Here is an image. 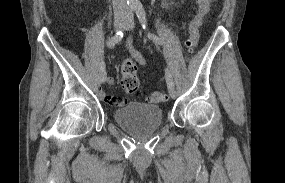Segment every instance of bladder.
<instances>
[{
  "label": "bladder",
  "mask_w": 285,
  "mask_h": 183,
  "mask_svg": "<svg viewBox=\"0 0 285 183\" xmlns=\"http://www.w3.org/2000/svg\"><path fill=\"white\" fill-rule=\"evenodd\" d=\"M114 118L117 124L132 132L154 130L163 123L161 107L137 102L118 107L114 112Z\"/></svg>",
  "instance_id": "bladder-1"
}]
</instances>
